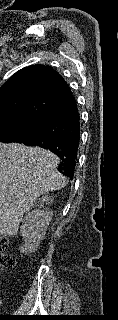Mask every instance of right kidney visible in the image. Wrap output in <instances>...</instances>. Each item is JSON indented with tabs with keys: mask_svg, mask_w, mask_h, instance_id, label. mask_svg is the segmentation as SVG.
Here are the masks:
<instances>
[{
	"mask_svg": "<svg viewBox=\"0 0 118 320\" xmlns=\"http://www.w3.org/2000/svg\"><path fill=\"white\" fill-rule=\"evenodd\" d=\"M53 200V196L43 195L35 202L37 208L26 214L20 228L25 248H34L44 237L52 218L49 205Z\"/></svg>",
	"mask_w": 118,
	"mask_h": 320,
	"instance_id": "obj_1",
	"label": "right kidney"
}]
</instances>
